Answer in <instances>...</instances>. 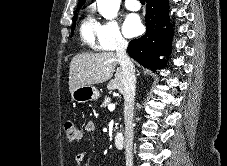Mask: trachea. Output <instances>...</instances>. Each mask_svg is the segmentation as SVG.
<instances>
[{
  "mask_svg": "<svg viewBox=\"0 0 227 166\" xmlns=\"http://www.w3.org/2000/svg\"><path fill=\"white\" fill-rule=\"evenodd\" d=\"M140 2H143V3H144V2H145V0H140Z\"/></svg>",
  "mask_w": 227,
  "mask_h": 166,
  "instance_id": "trachea-1",
  "label": "trachea"
}]
</instances>
